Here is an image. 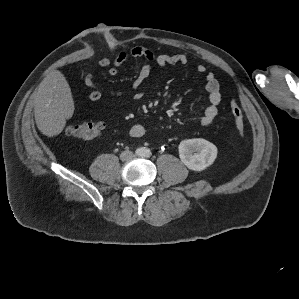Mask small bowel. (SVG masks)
<instances>
[{"label": "small bowel", "instance_id": "small-bowel-1", "mask_svg": "<svg viewBox=\"0 0 299 299\" xmlns=\"http://www.w3.org/2000/svg\"><path fill=\"white\" fill-rule=\"evenodd\" d=\"M130 59L145 61L131 84V91L134 92L133 98L136 100L143 98L144 93L139 89L151 75L154 66L163 68L168 65H186L188 63V58L184 54L157 55L147 48L137 46L132 48L129 53L120 52L114 58L104 57L99 61V65L107 69L109 75L115 76L118 74L120 67ZM197 71L205 76L204 89L209 101V105L202 113L201 124L209 126L218 116L222 95L218 80L212 72H208L206 67L201 64L197 66ZM84 83L91 90L88 96L89 100L92 102L100 100L102 97L101 88L91 74L85 76ZM121 94V92L112 93L113 96H120ZM144 134L145 128L142 124H134L130 128V135L134 138H140Z\"/></svg>", "mask_w": 299, "mask_h": 299}]
</instances>
